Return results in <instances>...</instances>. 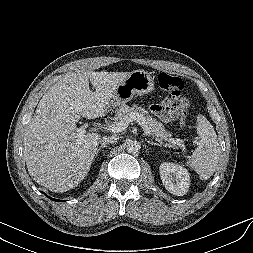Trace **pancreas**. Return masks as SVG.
<instances>
[{
    "instance_id": "pancreas-1",
    "label": "pancreas",
    "mask_w": 253,
    "mask_h": 253,
    "mask_svg": "<svg viewBox=\"0 0 253 253\" xmlns=\"http://www.w3.org/2000/svg\"><path fill=\"white\" fill-rule=\"evenodd\" d=\"M133 113L140 114L143 117L150 130V133L156 138L157 141L160 143H163L164 141L170 142L172 135L165 130L162 123L158 122L155 118L150 116L148 111L142 107H138L135 104L132 107H129L126 104H122L116 109L114 118L115 120L126 119L129 118ZM164 145L168 146L169 144L165 143Z\"/></svg>"
}]
</instances>
